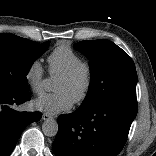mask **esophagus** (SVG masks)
Returning a JSON list of instances; mask_svg holds the SVG:
<instances>
[{"label": "esophagus", "mask_w": 156, "mask_h": 156, "mask_svg": "<svg viewBox=\"0 0 156 156\" xmlns=\"http://www.w3.org/2000/svg\"><path fill=\"white\" fill-rule=\"evenodd\" d=\"M51 118H53V117L51 115L47 114V113H43V115H42L43 120H48V119H51Z\"/></svg>", "instance_id": "1"}]
</instances>
